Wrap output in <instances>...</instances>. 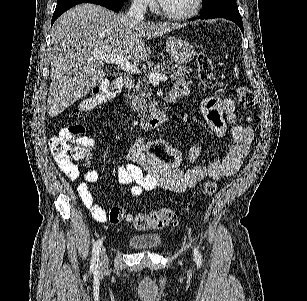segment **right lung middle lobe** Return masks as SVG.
I'll return each instance as SVG.
<instances>
[{"label":"right lung middle lobe","mask_w":307,"mask_h":301,"mask_svg":"<svg viewBox=\"0 0 307 301\" xmlns=\"http://www.w3.org/2000/svg\"><path fill=\"white\" fill-rule=\"evenodd\" d=\"M64 1H66V0H58L57 3L64 2ZM124 1H126V0H124Z\"/></svg>","instance_id":"obj_1"}]
</instances>
